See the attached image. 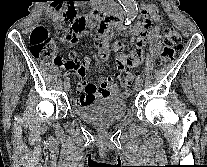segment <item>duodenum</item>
I'll list each match as a JSON object with an SVG mask.
<instances>
[{
  "label": "duodenum",
  "instance_id": "obj_1",
  "mask_svg": "<svg viewBox=\"0 0 207 167\" xmlns=\"http://www.w3.org/2000/svg\"><path fill=\"white\" fill-rule=\"evenodd\" d=\"M94 9L92 11V18H102L101 25L104 23L110 24L111 28L121 29L123 16L117 10H114L107 1L93 0Z\"/></svg>",
  "mask_w": 207,
  "mask_h": 167
}]
</instances>
